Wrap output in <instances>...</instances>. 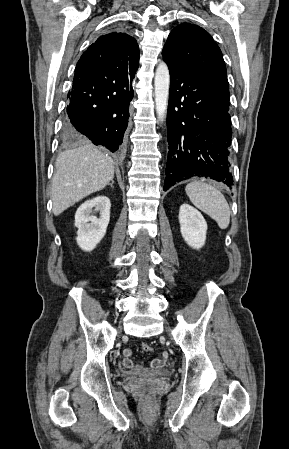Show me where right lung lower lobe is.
<instances>
[{
	"label": "right lung lower lobe",
	"mask_w": 289,
	"mask_h": 449,
	"mask_svg": "<svg viewBox=\"0 0 289 449\" xmlns=\"http://www.w3.org/2000/svg\"><path fill=\"white\" fill-rule=\"evenodd\" d=\"M134 76L114 81H90L74 78L64 121L73 137H87L95 145L117 151L127 129L129 104L133 98Z\"/></svg>",
	"instance_id": "98d812e1"
}]
</instances>
